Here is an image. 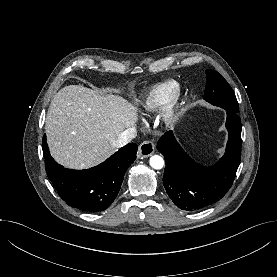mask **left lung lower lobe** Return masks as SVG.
<instances>
[{"instance_id": "obj_1", "label": "left lung lower lobe", "mask_w": 277, "mask_h": 277, "mask_svg": "<svg viewBox=\"0 0 277 277\" xmlns=\"http://www.w3.org/2000/svg\"><path fill=\"white\" fill-rule=\"evenodd\" d=\"M227 112L229 138L224 156L213 166L195 162L179 145L174 134L165 133L157 144L166 167L163 184L170 199L185 211L204 209L221 199L231 187L240 163L241 121L238 113Z\"/></svg>"}]
</instances>
